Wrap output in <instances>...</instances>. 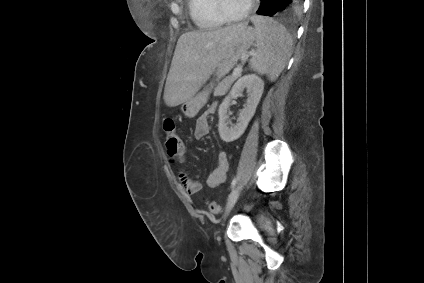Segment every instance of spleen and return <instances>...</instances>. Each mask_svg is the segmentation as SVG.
I'll list each match as a JSON object with an SVG mask.
<instances>
[{"label": "spleen", "instance_id": "obj_1", "mask_svg": "<svg viewBox=\"0 0 424 283\" xmlns=\"http://www.w3.org/2000/svg\"><path fill=\"white\" fill-rule=\"evenodd\" d=\"M252 22L258 47L250 59V67L275 81L291 56L292 37L283 25L273 19L254 16Z\"/></svg>", "mask_w": 424, "mask_h": 283}]
</instances>
